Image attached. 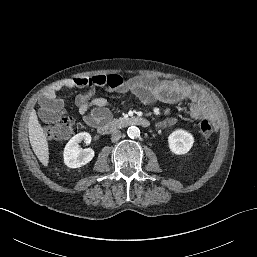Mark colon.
Segmentation results:
<instances>
[{
    "mask_svg": "<svg viewBox=\"0 0 257 257\" xmlns=\"http://www.w3.org/2000/svg\"><path fill=\"white\" fill-rule=\"evenodd\" d=\"M200 131L203 141L207 143L213 136V126L211 122L207 119L202 120L200 123ZM75 132L76 125L70 117H62L45 127V134L50 140H66Z\"/></svg>",
    "mask_w": 257,
    "mask_h": 257,
    "instance_id": "1",
    "label": "colon"
}]
</instances>
